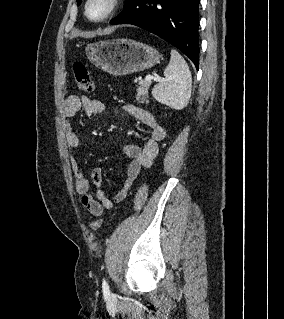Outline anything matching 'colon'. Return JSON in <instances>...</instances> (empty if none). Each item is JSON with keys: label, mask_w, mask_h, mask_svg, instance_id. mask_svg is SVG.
I'll use <instances>...</instances> for the list:
<instances>
[{"label": "colon", "mask_w": 284, "mask_h": 319, "mask_svg": "<svg viewBox=\"0 0 284 319\" xmlns=\"http://www.w3.org/2000/svg\"><path fill=\"white\" fill-rule=\"evenodd\" d=\"M74 80L78 89L92 93L95 90L94 81L87 69L82 62H75L73 64ZM103 225V219L94 220L91 223V229L93 231L99 229Z\"/></svg>", "instance_id": "1"}]
</instances>
